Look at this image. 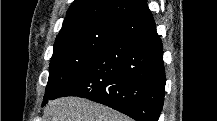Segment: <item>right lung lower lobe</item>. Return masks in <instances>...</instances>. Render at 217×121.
I'll return each mask as SVG.
<instances>
[{
    "instance_id": "right-lung-lower-lobe-1",
    "label": "right lung lower lobe",
    "mask_w": 217,
    "mask_h": 121,
    "mask_svg": "<svg viewBox=\"0 0 217 121\" xmlns=\"http://www.w3.org/2000/svg\"><path fill=\"white\" fill-rule=\"evenodd\" d=\"M165 82L163 46L147 8L129 20L87 68L49 99L80 96L137 121H158Z\"/></svg>"
}]
</instances>
